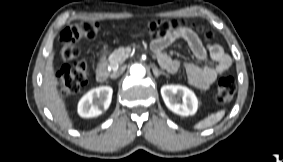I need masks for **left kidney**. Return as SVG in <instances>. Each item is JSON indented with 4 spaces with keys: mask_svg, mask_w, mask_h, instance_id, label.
I'll use <instances>...</instances> for the list:
<instances>
[{
    "mask_svg": "<svg viewBox=\"0 0 283 162\" xmlns=\"http://www.w3.org/2000/svg\"><path fill=\"white\" fill-rule=\"evenodd\" d=\"M161 95L168 109L178 115H194L197 111V97L185 86L164 85L161 87Z\"/></svg>",
    "mask_w": 283,
    "mask_h": 162,
    "instance_id": "1",
    "label": "left kidney"
}]
</instances>
